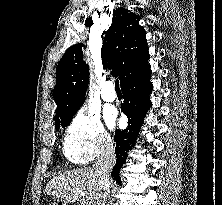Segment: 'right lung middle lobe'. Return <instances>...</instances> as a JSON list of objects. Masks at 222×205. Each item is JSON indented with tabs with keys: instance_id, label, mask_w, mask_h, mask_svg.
<instances>
[{
	"instance_id": "dd1d6c3e",
	"label": "right lung middle lobe",
	"mask_w": 222,
	"mask_h": 205,
	"mask_svg": "<svg viewBox=\"0 0 222 205\" xmlns=\"http://www.w3.org/2000/svg\"><path fill=\"white\" fill-rule=\"evenodd\" d=\"M72 118H73V116L68 117V118H64V119H60V120H56L55 121L56 129H59L60 126H62V127L68 126L70 124Z\"/></svg>"
}]
</instances>
